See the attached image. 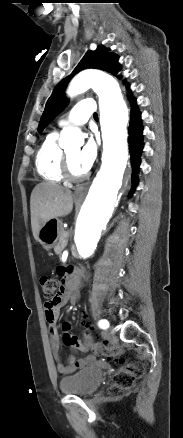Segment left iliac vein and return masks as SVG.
Returning a JSON list of instances; mask_svg holds the SVG:
<instances>
[{
	"mask_svg": "<svg viewBox=\"0 0 183 438\" xmlns=\"http://www.w3.org/2000/svg\"><path fill=\"white\" fill-rule=\"evenodd\" d=\"M102 337H103L105 340H108V341H115V340H116L114 334H113L112 332H110L109 330H105V331H103V332H102Z\"/></svg>",
	"mask_w": 183,
	"mask_h": 438,
	"instance_id": "obj_1",
	"label": "left iliac vein"
}]
</instances>
